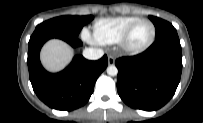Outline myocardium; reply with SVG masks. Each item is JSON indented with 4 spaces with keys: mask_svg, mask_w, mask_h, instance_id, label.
Segmentation results:
<instances>
[{
    "mask_svg": "<svg viewBox=\"0 0 203 123\" xmlns=\"http://www.w3.org/2000/svg\"><path fill=\"white\" fill-rule=\"evenodd\" d=\"M142 22H147L151 25L152 27V35H151V38L149 39V41L144 44L143 46L141 47H137V48H133V47H130L128 45V40H129V37L133 31V29L139 24V23H142ZM155 38H156V26L155 24L149 20V19H146V18H140L136 21H134L133 23H131L125 30L124 32L122 33V35L120 36L117 44L119 46V48L126 54H131V55H134V54H139V53H142L144 52L145 50H147L152 44L153 42L155 41Z\"/></svg>",
    "mask_w": 203,
    "mask_h": 123,
    "instance_id": "f54148a6",
    "label": "myocardium"
}]
</instances>
